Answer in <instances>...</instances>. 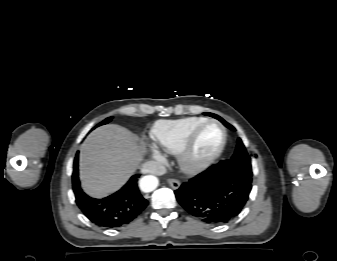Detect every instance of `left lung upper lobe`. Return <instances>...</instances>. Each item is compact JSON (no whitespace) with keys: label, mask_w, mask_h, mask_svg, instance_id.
<instances>
[{"label":"left lung upper lobe","mask_w":337,"mask_h":261,"mask_svg":"<svg viewBox=\"0 0 337 261\" xmlns=\"http://www.w3.org/2000/svg\"><path fill=\"white\" fill-rule=\"evenodd\" d=\"M216 116V115H214ZM223 124H225L228 128L234 130V128L226 123L222 118L216 116ZM221 164L229 165L238 171H240L245 177L250 178L252 180V168H251V159L248 155L244 144L242 143L241 139L239 138L237 141V147L234 155L230 159L229 163L227 161H221Z\"/></svg>","instance_id":"5c2ea615"}]
</instances>
